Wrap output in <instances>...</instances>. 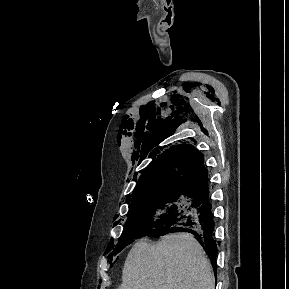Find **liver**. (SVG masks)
I'll return each mask as SVG.
<instances>
[{"label":"liver","instance_id":"1","mask_svg":"<svg viewBox=\"0 0 289 289\" xmlns=\"http://www.w3.org/2000/svg\"><path fill=\"white\" fill-rule=\"evenodd\" d=\"M211 264L190 233L164 236L155 245H133L118 289H214Z\"/></svg>","mask_w":289,"mask_h":289}]
</instances>
